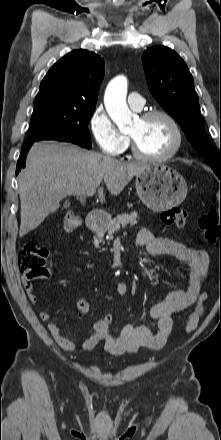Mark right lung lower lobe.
<instances>
[{
  "label": "right lung lower lobe",
  "instance_id": "right-lung-lower-lobe-1",
  "mask_svg": "<svg viewBox=\"0 0 221 440\" xmlns=\"http://www.w3.org/2000/svg\"><path fill=\"white\" fill-rule=\"evenodd\" d=\"M35 142H36V141H34V142H28L27 144L24 145V147H23V149H22V152H21V155H20V157H19V159H18V162H17L16 175L20 172V170H21L22 168L25 167V159H26L27 152H28V150L30 149L31 145H32L33 143H35Z\"/></svg>",
  "mask_w": 221,
  "mask_h": 440
}]
</instances>
